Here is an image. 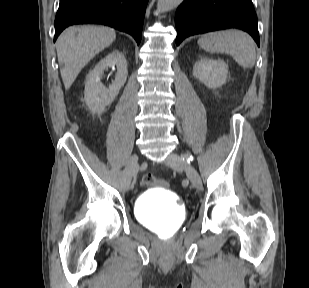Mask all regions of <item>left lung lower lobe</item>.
Wrapping results in <instances>:
<instances>
[{"label":"left lung lower lobe","mask_w":309,"mask_h":288,"mask_svg":"<svg viewBox=\"0 0 309 288\" xmlns=\"http://www.w3.org/2000/svg\"><path fill=\"white\" fill-rule=\"evenodd\" d=\"M176 44L195 34L239 28L260 45L257 16L251 0H184L175 16Z\"/></svg>","instance_id":"0a47b994"}]
</instances>
